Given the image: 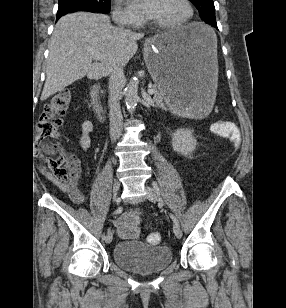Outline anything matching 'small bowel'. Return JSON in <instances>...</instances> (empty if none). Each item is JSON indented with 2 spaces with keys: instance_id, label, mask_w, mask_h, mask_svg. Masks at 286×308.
<instances>
[{
  "instance_id": "1",
  "label": "small bowel",
  "mask_w": 286,
  "mask_h": 308,
  "mask_svg": "<svg viewBox=\"0 0 286 308\" xmlns=\"http://www.w3.org/2000/svg\"><path fill=\"white\" fill-rule=\"evenodd\" d=\"M223 123H228L231 125L232 131L229 133L228 137L233 142H238L240 140V132L233 124L229 122L222 121ZM93 131V123L89 120L84 121L81 126V135L79 138L80 147L84 151H88L91 147V137L90 134ZM71 168L73 175L67 184H61L55 182V184L65 192L70 200L75 204H81L84 202V195L82 193L80 182V168L77 160L72 159ZM139 214L137 211L129 210L120 214L114 220V227L118 235L123 239H134L139 234Z\"/></svg>"
}]
</instances>
